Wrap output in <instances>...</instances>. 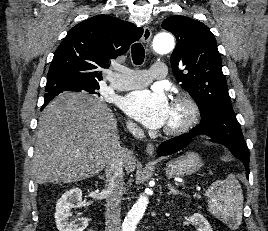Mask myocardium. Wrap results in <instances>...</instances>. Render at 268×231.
Returning <instances> with one entry per match:
<instances>
[{
  "label": "myocardium",
  "instance_id": "f54148a6",
  "mask_svg": "<svg viewBox=\"0 0 268 231\" xmlns=\"http://www.w3.org/2000/svg\"><path fill=\"white\" fill-rule=\"evenodd\" d=\"M180 106L185 115L183 120L175 126H166L163 132L166 135H180L187 132L197 121L199 110L195 100L188 94L176 95L172 100V106Z\"/></svg>",
  "mask_w": 268,
  "mask_h": 231
}]
</instances>
